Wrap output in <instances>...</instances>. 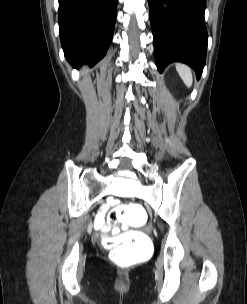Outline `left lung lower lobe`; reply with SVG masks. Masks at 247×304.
Returning a JSON list of instances; mask_svg holds the SVG:
<instances>
[{
  "instance_id": "obj_1",
  "label": "left lung lower lobe",
  "mask_w": 247,
  "mask_h": 304,
  "mask_svg": "<svg viewBox=\"0 0 247 304\" xmlns=\"http://www.w3.org/2000/svg\"><path fill=\"white\" fill-rule=\"evenodd\" d=\"M159 71L171 62H182L200 78L206 60L208 34L206 0H148Z\"/></svg>"
}]
</instances>
